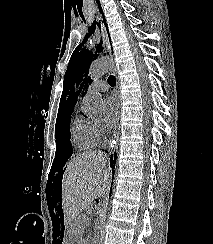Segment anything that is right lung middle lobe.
Wrapping results in <instances>:
<instances>
[{
  "mask_svg": "<svg viewBox=\"0 0 213 244\" xmlns=\"http://www.w3.org/2000/svg\"><path fill=\"white\" fill-rule=\"evenodd\" d=\"M72 111L57 117V128L55 130L56 153L52 164L49 179H56L58 172L65 165L67 159L72 155V146L70 143V120Z\"/></svg>",
  "mask_w": 213,
  "mask_h": 244,
  "instance_id": "1",
  "label": "right lung middle lobe"
}]
</instances>
